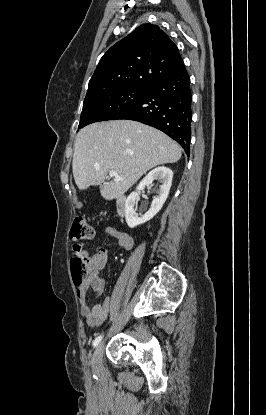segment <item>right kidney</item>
<instances>
[{
	"instance_id": "ca27d5eb",
	"label": "right kidney",
	"mask_w": 266,
	"mask_h": 415,
	"mask_svg": "<svg viewBox=\"0 0 266 415\" xmlns=\"http://www.w3.org/2000/svg\"><path fill=\"white\" fill-rule=\"evenodd\" d=\"M173 172L167 167H157L150 171L146 177L139 183L136 191L132 192L125 204V218L127 225L134 228L152 219L162 208L165 203L170 187L172 184ZM154 180L161 181L160 189L157 191V196L153 199L150 209L144 215H138L134 208L137 204V198L145 186L153 183Z\"/></svg>"
}]
</instances>
